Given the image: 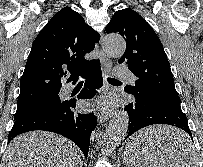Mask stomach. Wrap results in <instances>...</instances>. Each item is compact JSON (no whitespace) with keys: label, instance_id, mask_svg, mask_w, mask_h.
<instances>
[{"label":"stomach","instance_id":"1","mask_svg":"<svg viewBox=\"0 0 203 167\" xmlns=\"http://www.w3.org/2000/svg\"><path fill=\"white\" fill-rule=\"evenodd\" d=\"M151 152L153 153L154 156H156L158 154L157 149H151ZM129 159H131V153L128 152V148H127L126 151H125L124 161L129 160Z\"/></svg>","mask_w":203,"mask_h":167}]
</instances>
